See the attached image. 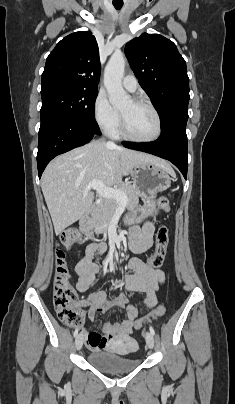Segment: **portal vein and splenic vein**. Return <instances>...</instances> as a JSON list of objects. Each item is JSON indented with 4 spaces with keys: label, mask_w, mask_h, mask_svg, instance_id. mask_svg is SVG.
Returning a JSON list of instances; mask_svg holds the SVG:
<instances>
[{
    "label": "portal vein and splenic vein",
    "mask_w": 235,
    "mask_h": 404,
    "mask_svg": "<svg viewBox=\"0 0 235 404\" xmlns=\"http://www.w3.org/2000/svg\"><path fill=\"white\" fill-rule=\"evenodd\" d=\"M89 188L95 189L97 193L104 198H113L120 202L122 205H126L128 200L123 191L115 188L107 187L103 182L99 180H92L88 184Z\"/></svg>",
    "instance_id": "obj_1"
}]
</instances>
